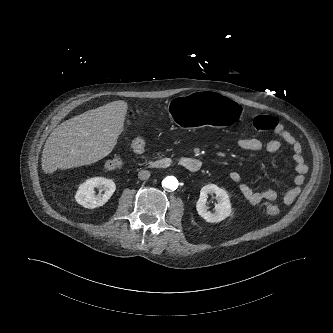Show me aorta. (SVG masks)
I'll list each match as a JSON object with an SVG mask.
<instances>
[{
    "label": "aorta",
    "mask_w": 333,
    "mask_h": 333,
    "mask_svg": "<svg viewBox=\"0 0 333 333\" xmlns=\"http://www.w3.org/2000/svg\"><path fill=\"white\" fill-rule=\"evenodd\" d=\"M162 185L166 188V189H169V190H173V189H176L177 186H178V181L175 177L173 176H168L166 177L163 182H162Z\"/></svg>",
    "instance_id": "obj_1"
}]
</instances>
